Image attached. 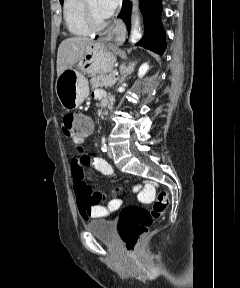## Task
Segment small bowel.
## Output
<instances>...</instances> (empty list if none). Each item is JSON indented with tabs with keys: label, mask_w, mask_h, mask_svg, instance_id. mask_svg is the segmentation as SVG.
I'll list each match as a JSON object with an SVG mask.
<instances>
[{
	"label": "small bowel",
	"mask_w": 240,
	"mask_h": 288,
	"mask_svg": "<svg viewBox=\"0 0 240 288\" xmlns=\"http://www.w3.org/2000/svg\"><path fill=\"white\" fill-rule=\"evenodd\" d=\"M94 97L100 101L101 106L109 102V98L101 90L95 91ZM84 139L85 137L73 140V145L77 148L79 154L71 159L70 168L77 207L82 218L87 221L107 216L110 212L117 210L122 202L120 199H113L107 206L102 205L105 198L104 194L94 191L86 183L85 168L98 171L105 176H113L114 171L105 159L92 157L82 149ZM153 193V187L146 188V197H152Z\"/></svg>",
	"instance_id": "c3829d8e"
}]
</instances>
